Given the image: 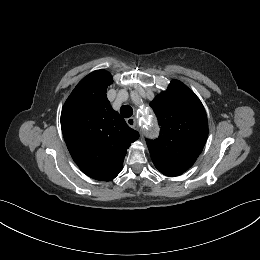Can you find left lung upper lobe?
Listing matches in <instances>:
<instances>
[{
	"instance_id": "5c2ea615",
	"label": "left lung upper lobe",
	"mask_w": 260,
	"mask_h": 260,
	"mask_svg": "<svg viewBox=\"0 0 260 260\" xmlns=\"http://www.w3.org/2000/svg\"><path fill=\"white\" fill-rule=\"evenodd\" d=\"M150 105L161 125L160 136L147 140L152 161L166 176L181 175L194 164L206 143L205 109L194 92L178 80H173Z\"/></svg>"
}]
</instances>
